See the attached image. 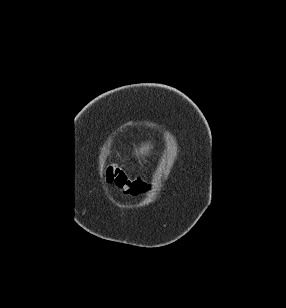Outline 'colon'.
I'll list each match as a JSON object with an SVG mask.
<instances>
[{
	"mask_svg": "<svg viewBox=\"0 0 286 308\" xmlns=\"http://www.w3.org/2000/svg\"><path fill=\"white\" fill-rule=\"evenodd\" d=\"M106 181L115 185L122 192L130 195H139L148 190V184L139 178L129 177L124 170L108 166L105 171Z\"/></svg>",
	"mask_w": 286,
	"mask_h": 308,
	"instance_id": "1",
	"label": "colon"
}]
</instances>
